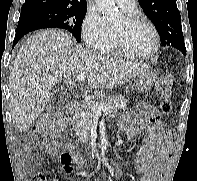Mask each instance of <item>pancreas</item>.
I'll return each mask as SVG.
<instances>
[{
  "label": "pancreas",
  "mask_w": 197,
  "mask_h": 181,
  "mask_svg": "<svg viewBox=\"0 0 197 181\" xmlns=\"http://www.w3.org/2000/svg\"><path fill=\"white\" fill-rule=\"evenodd\" d=\"M103 96L104 95L102 92H96L95 100L92 102L84 103L82 105V109L71 118V124L73 126V130L75 131V134L83 141H87L89 138V132L94 117L92 110L93 105L100 107H109L113 111L125 109L127 106V100L124 96H111L107 99H103Z\"/></svg>",
  "instance_id": "cf45deb5"
}]
</instances>
